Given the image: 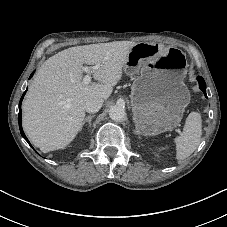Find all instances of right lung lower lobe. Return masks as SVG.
I'll return each mask as SVG.
<instances>
[{
	"label": "right lung lower lobe",
	"mask_w": 227,
	"mask_h": 227,
	"mask_svg": "<svg viewBox=\"0 0 227 227\" xmlns=\"http://www.w3.org/2000/svg\"><path fill=\"white\" fill-rule=\"evenodd\" d=\"M32 76H33V73L31 74V77ZM25 93H26V91L23 93V95L21 97V100H20V103H19V128H20V132H21L22 137L29 143L28 139L26 138V136H25V134L23 132L22 125H21V118H22V114H21V102H22V99H23Z\"/></svg>",
	"instance_id": "98d812e1"
}]
</instances>
